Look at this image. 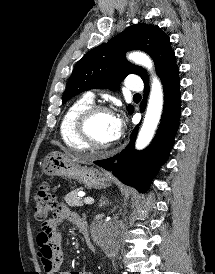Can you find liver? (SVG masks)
Instances as JSON below:
<instances>
[{"label":"liver","mask_w":215,"mask_h":274,"mask_svg":"<svg viewBox=\"0 0 215 274\" xmlns=\"http://www.w3.org/2000/svg\"><path fill=\"white\" fill-rule=\"evenodd\" d=\"M68 156L71 157L75 162L84 163V160H82L80 157H76L71 154H68Z\"/></svg>","instance_id":"obj_1"}]
</instances>
